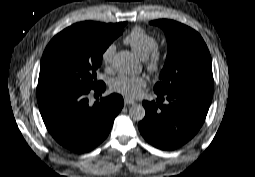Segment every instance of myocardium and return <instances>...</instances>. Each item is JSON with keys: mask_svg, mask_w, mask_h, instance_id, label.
Returning a JSON list of instances; mask_svg holds the SVG:
<instances>
[{"mask_svg": "<svg viewBox=\"0 0 255 177\" xmlns=\"http://www.w3.org/2000/svg\"><path fill=\"white\" fill-rule=\"evenodd\" d=\"M165 60V53L162 47L156 46L145 59V68L149 73L159 72Z\"/></svg>", "mask_w": 255, "mask_h": 177, "instance_id": "f54148a6", "label": "myocardium"}]
</instances>
